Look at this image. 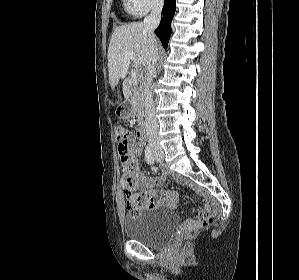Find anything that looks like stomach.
<instances>
[{
  "label": "stomach",
  "instance_id": "obj_1",
  "mask_svg": "<svg viewBox=\"0 0 299 280\" xmlns=\"http://www.w3.org/2000/svg\"><path fill=\"white\" fill-rule=\"evenodd\" d=\"M133 113V110L130 105H123L118 108L117 114L120 116L121 119L129 118Z\"/></svg>",
  "mask_w": 299,
  "mask_h": 280
}]
</instances>
